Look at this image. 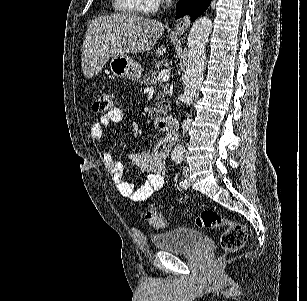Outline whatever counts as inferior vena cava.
Wrapping results in <instances>:
<instances>
[{
  "mask_svg": "<svg viewBox=\"0 0 307 301\" xmlns=\"http://www.w3.org/2000/svg\"><path fill=\"white\" fill-rule=\"evenodd\" d=\"M166 2H170V0H166Z\"/></svg>",
  "mask_w": 307,
  "mask_h": 301,
  "instance_id": "1",
  "label": "inferior vena cava"
}]
</instances>
